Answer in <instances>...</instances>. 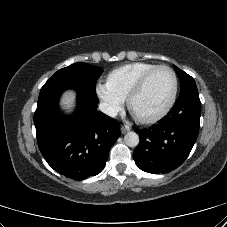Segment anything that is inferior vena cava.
<instances>
[{
    "mask_svg": "<svg viewBox=\"0 0 227 227\" xmlns=\"http://www.w3.org/2000/svg\"><path fill=\"white\" fill-rule=\"evenodd\" d=\"M98 107L101 112L105 113L110 117H115L117 115L116 108L106 102H100Z\"/></svg>",
    "mask_w": 227,
    "mask_h": 227,
    "instance_id": "inferior-vena-cava-1",
    "label": "inferior vena cava"
}]
</instances>
